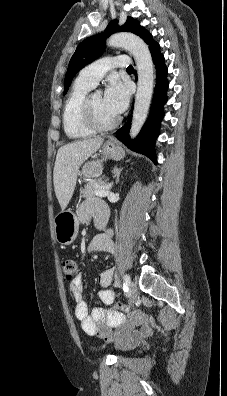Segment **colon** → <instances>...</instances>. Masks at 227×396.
I'll list each match as a JSON object with an SVG mask.
<instances>
[{
	"label": "colon",
	"instance_id": "obj_1",
	"mask_svg": "<svg viewBox=\"0 0 227 396\" xmlns=\"http://www.w3.org/2000/svg\"><path fill=\"white\" fill-rule=\"evenodd\" d=\"M61 267L63 274L65 276V279L67 281H72L75 277V274L77 272V262L72 259V258H64L61 261ZM123 307L121 302H116L113 305V309L119 310Z\"/></svg>",
	"mask_w": 227,
	"mask_h": 396
}]
</instances>
